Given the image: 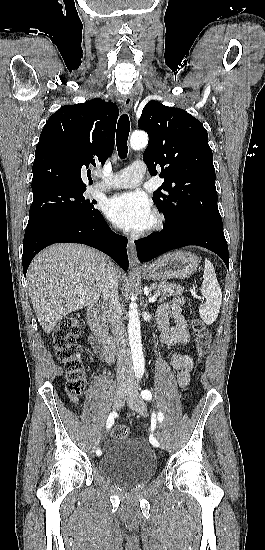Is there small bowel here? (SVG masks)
<instances>
[{
    "mask_svg": "<svg viewBox=\"0 0 265 550\" xmlns=\"http://www.w3.org/2000/svg\"><path fill=\"white\" fill-rule=\"evenodd\" d=\"M183 300L174 298L162 304L157 311V323L160 340L167 346H186L190 342V335L186 320L182 314ZM170 319L175 321L174 326L169 327ZM93 345V342H92ZM94 347V346H93ZM98 355L107 363L113 360L110 350L104 351L94 347ZM172 367L177 370V382L180 387H185L190 382L193 360L189 354L175 353L171 357Z\"/></svg>",
    "mask_w": 265,
    "mask_h": 550,
    "instance_id": "c3829d8e",
    "label": "small bowel"
}]
</instances>
